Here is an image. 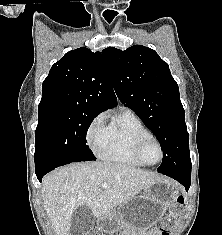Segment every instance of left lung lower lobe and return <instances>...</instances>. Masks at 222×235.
I'll return each instance as SVG.
<instances>
[{
	"instance_id": "0a47b994",
	"label": "left lung lower lobe",
	"mask_w": 222,
	"mask_h": 235,
	"mask_svg": "<svg viewBox=\"0 0 222 235\" xmlns=\"http://www.w3.org/2000/svg\"><path fill=\"white\" fill-rule=\"evenodd\" d=\"M162 174H165V175L177 180L188 191V189L190 187V183H191V173H162Z\"/></svg>"
}]
</instances>
